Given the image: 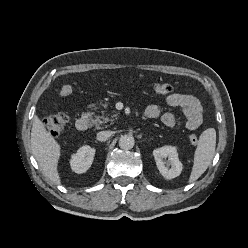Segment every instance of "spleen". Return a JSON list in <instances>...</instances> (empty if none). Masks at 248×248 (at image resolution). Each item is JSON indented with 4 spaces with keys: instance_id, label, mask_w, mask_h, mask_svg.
Here are the masks:
<instances>
[{
    "instance_id": "3e777b00",
    "label": "spleen",
    "mask_w": 248,
    "mask_h": 248,
    "mask_svg": "<svg viewBox=\"0 0 248 248\" xmlns=\"http://www.w3.org/2000/svg\"><path fill=\"white\" fill-rule=\"evenodd\" d=\"M216 147V131L214 128L205 130L199 138L194 154V163L189 182L196 181L210 165Z\"/></svg>"
}]
</instances>
